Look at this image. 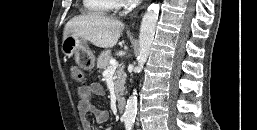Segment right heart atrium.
I'll return each mask as SVG.
<instances>
[{
    "label": "right heart atrium",
    "instance_id": "d8ad5b80",
    "mask_svg": "<svg viewBox=\"0 0 257 130\" xmlns=\"http://www.w3.org/2000/svg\"><path fill=\"white\" fill-rule=\"evenodd\" d=\"M130 0H119L120 5L125 6L129 3Z\"/></svg>",
    "mask_w": 257,
    "mask_h": 130
}]
</instances>
